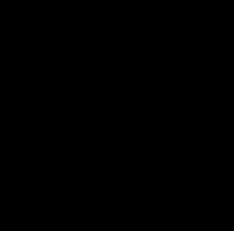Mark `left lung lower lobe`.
I'll return each mask as SVG.
<instances>
[{
  "label": "left lung lower lobe",
  "instance_id": "obj_1",
  "mask_svg": "<svg viewBox=\"0 0 234 231\" xmlns=\"http://www.w3.org/2000/svg\"><path fill=\"white\" fill-rule=\"evenodd\" d=\"M188 76L186 84L167 87L169 110L159 121L142 120L137 136L142 147L139 156L147 169L153 189L161 194L184 192L207 171L215 150L213 126L216 113L209 101V87L192 64L179 63L176 54L163 51ZM143 60L148 73L157 77L158 63ZM132 112L127 100L123 106Z\"/></svg>",
  "mask_w": 234,
  "mask_h": 231
}]
</instances>
